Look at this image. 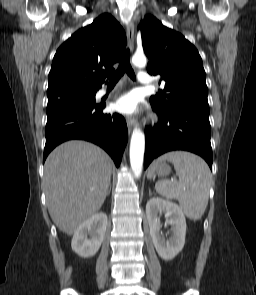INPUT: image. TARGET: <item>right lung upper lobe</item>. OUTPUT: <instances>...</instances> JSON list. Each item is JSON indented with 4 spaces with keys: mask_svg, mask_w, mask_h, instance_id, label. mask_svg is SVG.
<instances>
[{
    "mask_svg": "<svg viewBox=\"0 0 256 295\" xmlns=\"http://www.w3.org/2000/svg\"><path fill=\"white\" fill-rule=\"evenodd\" d=\"M126 42L123 28L110 14L76 31L53 58L48 99L69 92H96L114 72L113 64L120 60Z\"/></svg>",
    "mask_w": 256,
    "mask_h": 295,
    "instance_id": "obj_1",
    "label": "right lung upper lobe"
}]
</instances>
